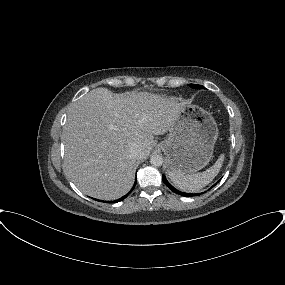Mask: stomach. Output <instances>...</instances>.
Returning a JSON list of instances; mask_svg holds the SVG:
<instances>
[{"label":"stomach","mask_w":285,"mask_h":285,"mask_svg":"<svg viewBox=\"0 0 285 285\" xmlns=\"http://www.w3.org/2000/svg\"><path fill=\"white\" fill-rule=\"evenodd\" d=\"M218 138L212 115L196 105H187L169 129L168 138L158 144L166 156V171L193 174L213 156Z\"/></svg>","instance_id":"0dacf381"}]
</instances>
